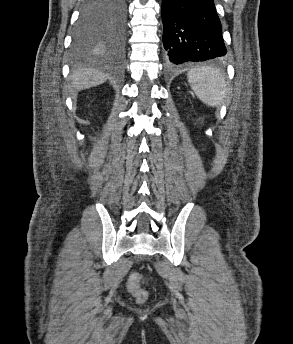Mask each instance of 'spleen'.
I'll use <instances>...</instances> for the list:
<instances>
[{"label":"spleen","instance_id":"obj_1","mask_svg":"<svg viewBox=\"0 0 293 344\" xmlns=\"http://www.w3.org/2000/svg\"><path fill=\"white\" fill-rule=\"evenodd\" d=\"M188 82L196 96L205 104L218 106L226 95L223 73L212 67H198L189 71Z\"/></svg>","mask_w":293,"mask_h":344}]
</instances>
